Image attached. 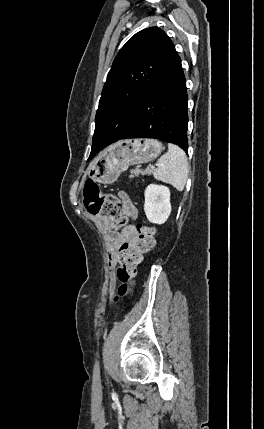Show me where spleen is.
Masks as SVG:
<instances>
[{
    "label": "spleen",
    "mask_w": 264,
    "mask_h": 429,
    "mask_svg": "<svg viewBox=\"0 0 264 429\" xmlns=\"http://www.w3.org/2000/svg\"><path fill=\"white\" fill-rule=\"evenodd\" d=\"M154 177L183 191L188 177V162L185 152L172 143L168 152L159 159V166L153 171Z\"/></svg>",
    "instance_id": "1"
}]
</instances>
